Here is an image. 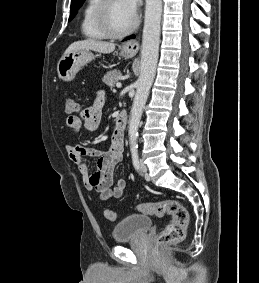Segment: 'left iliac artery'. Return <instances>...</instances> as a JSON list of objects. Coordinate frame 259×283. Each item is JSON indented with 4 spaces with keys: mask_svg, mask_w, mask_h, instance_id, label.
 Instances as JSON below:
<instances>
[{
    "mask_svg": "<svg viewBox=\"0 0 259 283\" xmlns=\"http://www.w3.org/2000/svg\"><path fill=\"white\" fill-rule=\"evenodd\" d=\"M131 154H132V161L134 168L138 171L139 170V157H138V147L133 146L131 148Z\"/></svg>",
    "mask_w": 259,
    "mask_h": 283,
    "instance_id": "44dca946",
    "label": "left iliac artery"
}]
</instances>
